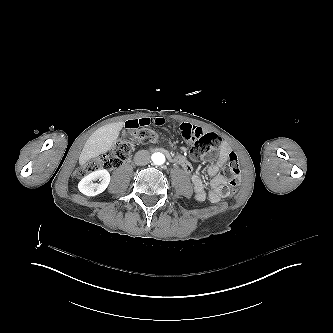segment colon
<instances>
[{
	"instance_id": "1",
	"label": "colon",
	"mask_w": 333,
	"mask_h": 333,
	"mask_svg": "<svg viewBox=\"0 0 333 333\" xmlns=\"http://www.w3.org/2000/svg\"><path fill=\"white\" fill-rule=\"evenodd\" d=\"M180 126L182 133H184V139L187 141L193 139V142H195V145L190 152V157L194 161L200 160L208 154L211 149H217L221 145V140L218 137L214 134H206L205 130L200 126L195 127L193 132L191 131V125L188 123L181 124ZM157 140L158 135L153 131L147 129L142 131L127 129L126 137L124 139L117 140L107 154L94 158L86 164L77 167L75 175L83 176L97 171L116 168L120 165L121 161L127 160L130 156L132 152L131 142H137L145 146H150L156 143ZM227 172L229 174L230 189L235 190L240 183L241 168L238 156L234 152L229 154ZM228 191L229 189L227 188L226 192Z\"/></svg>"
}]
</instances>
